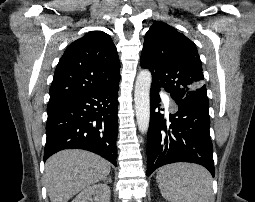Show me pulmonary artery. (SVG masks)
<instances>
[{
	"instance_id": "pulmonary-artery-1",
	"label": "pulmonary artery",
	"mask_w": 255,
	"mask_h": 202,
	"mask_svg": "<svg viewBox=\"0 0 255 202\" xmlns=\"http://www.w3.org/2000/svg\"><path fill=\"white\" fill-rule=\"evenodd\" d=\"M166 105H169V102L167 100H166ZM170 109H171V111H174L175 107L173 105H170Z\"/></svg>"
}]
</instances>
